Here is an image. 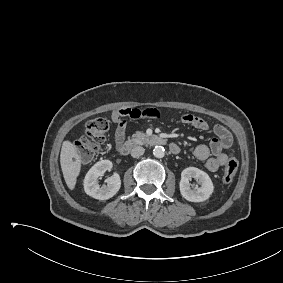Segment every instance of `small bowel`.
<instances>
[{
	"label": "small bowel",
	"instance_id": "1",
	"mask_svg": "<svg viewBox=\"0 0 283 283\" xmlns=\"http://www.w3.org/2000/svg\"><path fill=\"white\" fill-rule=\"evenodd\" d=\"M146 117L159 118L160 111L155 108H123L114 111L112 113V120L117 124L115 130L116 146L119 147L124 142L128 118L139 119ZM181 122L201 131H208L210 129L208 123L204 119L193 114L182 115ZM212 131L214 137L211 139L209 145H198L194 150V155L198 160L204 161L207 170L214 172L226 164L228 157L225 151L232 146L233 138L229 130L222 125H215L212 128Z\"/></svg>",
	"mask_w": 283,
	"mask_h": 283
}]
</instances>
